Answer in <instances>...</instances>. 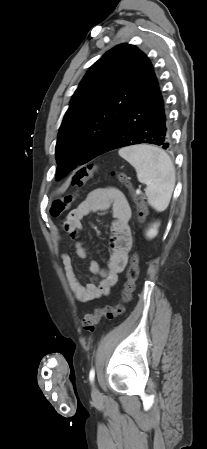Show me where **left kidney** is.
I'll use <instances>...</instances> for the list:
<instances>
[{"mask_svg": "<svg viewBox=\"0 0 207 449\" xmlns=\"http://www.w3.org/2000/svg\"><path fill=\"white\" fill-rule=\"evenodd\" d=\"M158 226L159 223H156L146 232L148 238H154L158 234Z\"/></svg>", "mask_w": 207, "mask_h": 449, "instance_id": "5707ae66", "label": "left kidney"}]
</instances>
